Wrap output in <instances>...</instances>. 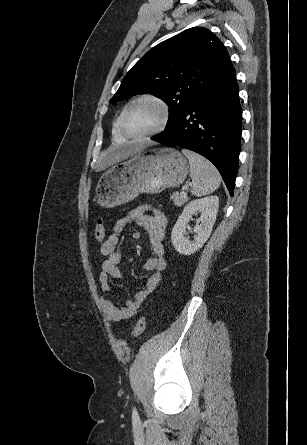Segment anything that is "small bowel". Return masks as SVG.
<instances>
[{
	"label": "small bowel",
	"instance_id": "obj_1",
	"mask_svg": "<svg viewBox=\"0 0 307 445\" xmlns=\"http://www.w3.org/2000/svg\"><path fill=\"white\" fill-rule=\"evenodd\" d=\"M129 223H137L147 232L152 257L145 263V269L151 272L144 288L137 291L133 299H130L122 307H118L112 300L103 298L101 306L105 317L109 321L119 322L133 317L150 294L156 289L162 273L166 268L164 239L167 229V217L158 209L138 207L127 212L119 219L110 236L101 244L100 253L104 256L99 275V284L103 292H111L110 280L121 279L122 273L119 264L122 260V251L119 248V235L123 227Z\"/></svg>",
	"mask_w": 307,
	"mask_h": 445
}]
</instances>
